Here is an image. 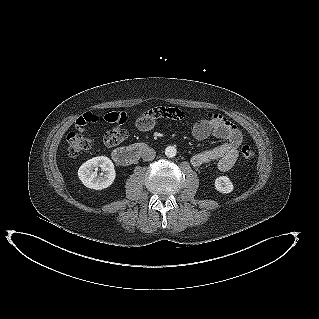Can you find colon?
Instances as JSON below:
<instances>
[{
    "label": "colon",
    "instance_id": "colon-1",
    "mask_svg": "<svg viewBox=\"0 0 319 319\" xmlns=\"http://www.w3.org/2000/svg\"><path fill=\"white\" fill-rule=\"evenodd\" d=\"M105 120L121 125L126 122L127 118L123 112H112L105 116ZM66 141L67 154L72 157L88 151L93 146V141L90 138L76 132H70ZM242 157L246 162H252L255 158V152L249 146H244L242 148Z\"/></svg>",
    "mask_w": 319,
    "mask_h": 319
}]
</instances>
